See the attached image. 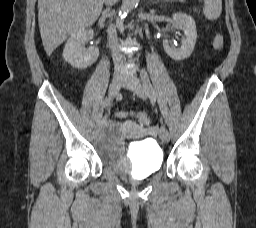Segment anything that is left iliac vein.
Listing matches in <instances>:
<instances>
[{
  "label": "left iliac vein",
  "instance_id": "obj_1",
  "mask_svg": "<svg viewBox=\"0 0 256 228\" xmlns=\"http://www.w3.org/2000/svg\"><path fill=\"white\" fill-rule=\"evenodd\" d=\"M123 86L131 90L140 98L146 97V90L144 89L143 85L140 83L139 79L132 74H129L125 77ZM159 137L163 143L169 142L170 136L165 126H161L159 130Z\"/></svg>",
  "mask_w": 256,
  "mask_h": 228
}]
</instances>
